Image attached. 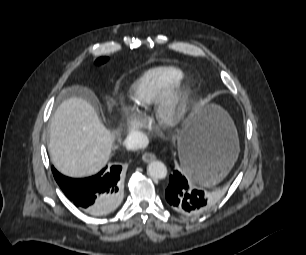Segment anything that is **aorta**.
Instances as JSON below:
<instances>
[{
	"label": "aorta",
	"mask_w": 306,
	"mask_h": 255,
	"mask_svg": "<svg viewBox=\"0 0 306 255\" xmlns=\"http://www.w3.org/2000/svg\"><path fill=\"white\" fill-rule=\"evenodd\" d=\"M147 173L153 179H164L167 176V167L161 161H152L147 166Z\"/></svg>",
	"instance_id": "aorta-1"
}]
</instances>
